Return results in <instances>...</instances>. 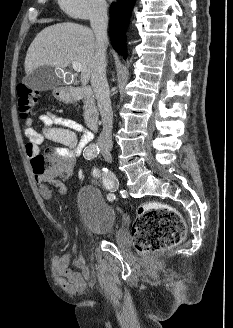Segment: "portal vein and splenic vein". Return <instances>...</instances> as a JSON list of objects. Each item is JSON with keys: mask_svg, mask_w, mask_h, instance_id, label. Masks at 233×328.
Returning a JSON list of instances; mask_svg holds the SVG:
<instances>
[{"mask_svg": "<svg viewBox=\"0 0 233 328\" xmlns=\"http://www.w3.org/2000/svg\"><path fill=\"white\" fill-rule=\"evenodd\" d=\"M72 66H73L74 71H76V72L82 71V65L79 62L73 61Z\"/></svg>", "mask_w": 233, "mask_h": 328, "instance_id": "portal-vein-and-splenic-vein-1", "label": "portal vein and splenic vein"}]
</instances>
